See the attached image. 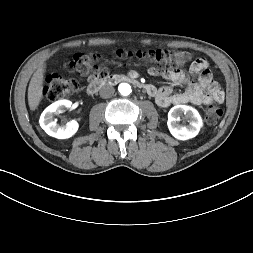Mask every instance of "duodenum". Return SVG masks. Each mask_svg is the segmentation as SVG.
Wrapping results in <instances>:
<instances>
[{"mask_svg":"<svg viewBox=\"0 0 253 253\" xmlns=\"http://www.w3.org/2000/svg\"><path fill=\"white\" fill-rule=\"evenodd\" d=\"M119 82L132 83L136 87H138L140 89H143L145 91H150L151 90L150 85H145V84L139 82L138 80H136L135 78L125 76V75H109L105 78L98 79V81L95 82V83H90L89 86H88L87 91L90 95H94L99 90H101L103 87H105L107 85H111V84H116V83H119Z\"/></svg>","mask_w":253,"mask_h":253,"instance_id":"obj_1","label":"duodenum"}]
</instances>
